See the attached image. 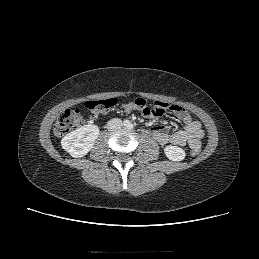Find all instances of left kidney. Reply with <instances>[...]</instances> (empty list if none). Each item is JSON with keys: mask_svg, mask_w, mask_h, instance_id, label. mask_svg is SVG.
Returning a JSON list of instances; mask_svg holds the SVG:
<instances>
[{"mask_svg": "<svg viewBox=\"0 0 259 259\" xmlns=\"http://www.w3.org/2000/svg\"><path fill=\"white\" fill-rule=\"evenodd\" d=\"M165 155L171 161H181L185 158V151L177 146H166L164 149Z\"/></svg>", "mask_w": 259, "mask_h": 259, "instance_id": "obj_1", "label": "left kidney"}]
</instances>
